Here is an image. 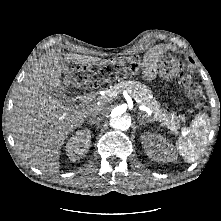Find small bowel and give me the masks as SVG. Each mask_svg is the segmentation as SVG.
I'll list each match as a JSON object with an SVG mask.
<instances>
[{"instance_id": "small-bowel-1", "label": "small bowel", "mask_w": 221, "mask_h": 221, "mask_svg": "<svg viewBox=\"0 0 221 221\" xmlns=\"http://www.w3.org/2000/svg\"><path fill=\"white\" fill-rule=\"evenodd\" d=\"M144 77L153 79L155 77L154 60L150 57L145 59Z\"/></svg>"}]
</instances>
